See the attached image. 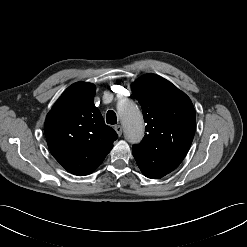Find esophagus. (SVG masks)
<instances>
[{"label": "esophagus", "mask_w": 247, "mask_h": 247, "mask_svg": "<svg viewBox=\"0 0 247 247\" xmlns=\"http://www.w3.org/2000/svg\"><path fill=\"white\" fill-rule=\"evenodd\" d=\"M114 129H115V131H116V133L118 134V136L120 137L121 135H122V126H120V125H115L114 126Z\"/></svg>", "instance_id": "34e87169"}]
</instances>
